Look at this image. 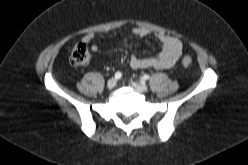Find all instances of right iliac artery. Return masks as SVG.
Segmentation results:
<instances>
[{
  "label": "right iliac artery",
  "instance_id": "obj_1",
  "mask_svg": "<svg viewBox=\"0 0 248 165\" xmlns=\"http://www.w3.org/2000/svg\"><path fill=\"white\" fill-rule=\"evenodd\" d=\"M122 77V74H121V72H116L115 73V78L118 80V79H120Z\"/></svg>",
  "mask_w": 248,
  "mask_h": 165
}]
</instances>
